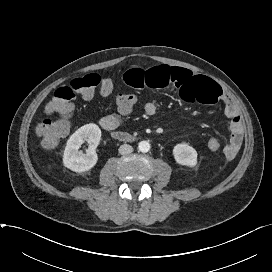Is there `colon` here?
Here are the masks:
<instances>
[{
    "instance_id": "obj_1",
    "label": "colon",
    "mask_w": 272,
    "mask_h": 272,
    "mask_svg": "<svg viewBox=\"0 0 272 272\" xmlns=\"http://www.w3.org/2000/svg\"><path fill=\"white\" fill-rule=\"evenodd\" d=\"M100 86L101 94L111 97L117 110L123 114L130 113L135 107L138 98L127 92L114 93L111 80L101 78L97 74H86L73 79L69 85L58 88L53 97L45 104L44 111L47 115H58V119H42L36 127V132L41 138L45 148H54L70 129V117L74 111V93H79L83 98L89 99L93 96L96 87ZM210 150L216 151L220 148V141L211 138L207 142Z\"/></svg>"
}]
</instances>
